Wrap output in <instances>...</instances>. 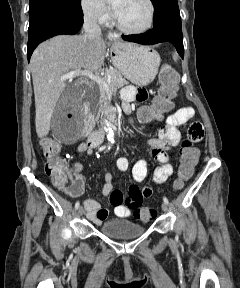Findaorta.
<instances>
[{
    "mask_svg": "<svg viewBox=\"0 0 240 288\" xmlns=\"http://www.w3.org/2000/svg\"><path fill=\"white\" fill-rule=\"evenodd\" d=\"M104 129H105L106 134H107V139L113 140L114 139V132H113L112 128L110 127V125L108 124V122H105Z\"/></svg>",
    "mask_w": 240,
    "mask_h": 288,
    "instance_id": "obj_1",
    "label": "aorta"
}]
</instances>
